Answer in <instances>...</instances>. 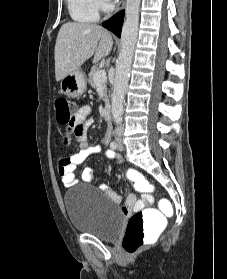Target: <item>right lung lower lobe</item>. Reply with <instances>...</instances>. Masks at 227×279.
<instances>
[{
	"instance_id": "98d812e1",
	"label": "right lung lower lobe",
	"mask_w": 227,
	"mask_h": 279,
	"mask_svg": "<svg viewBox=\"0 0 227 279\" xmlns=\"http://www.w3.org/2000/svg\"><path fill=\"white\" fill-rule=\"evenodd\" d=\"M124 19V12L119 13L118 15L114 16L113 18L109 19L102 23L103 27L107 28L108 30L112 31L118 37L121 36V29Z\"/></svg>"
}]
</instances>
